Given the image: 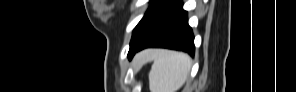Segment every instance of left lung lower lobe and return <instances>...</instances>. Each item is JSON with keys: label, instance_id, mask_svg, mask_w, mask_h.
<instances>
[{"label": "left lung lower lobe", "instance_id": "left-lung-lower-lobe-1", "mask_svg": "<svg viewBox=\"0 0 296 92\" xmlns=\"http://www.w3.org/2000/svg\"><path fill=\"white\" fill-rule=\"evenodd\" d=\"M182 5L181 0L169 1L148 34L129 50V59L147 47L182 50L194 55V36Z\"/></svg>", "mask_w": 296, "mask_h": 92}]
</instances>
